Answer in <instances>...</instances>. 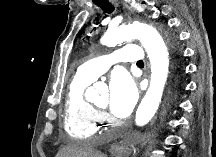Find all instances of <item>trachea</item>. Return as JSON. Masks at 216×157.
Listing matches in <instances>:
<instances>
[{"label":"trachea","mask_w":216,"mask_h":157,"mask_svg":"<svg viewBox=\"0 0 216 157\" xmlns=\"http://www.w3.org/2000/svg\"><path fill=\"white\" fill-rule=\"evenodd\" d=\"M96 5L98 7H100L106 13H112L114 11L113 5L108 0H104L102 2H98V3H96ZM137 64L141 65V64H143V61L142 60L138 61Z\"/></svg>","instance_id":"1"}]
</instances>
